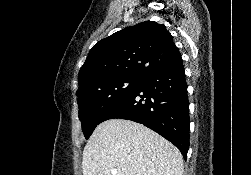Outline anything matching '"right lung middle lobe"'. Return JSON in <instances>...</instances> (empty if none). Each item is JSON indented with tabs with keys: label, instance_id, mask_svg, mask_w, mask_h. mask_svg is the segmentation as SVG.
I'll list each match as a JSON object with an SVG mask.
<instances>
[{
	"label": "right lung middle lobe",
	"instance_id": "1",
	"mask_svg": "<svg viewBox=\"0 0 251 175\" xmlns=\"http://www.w3.org/2000/svg\"><path fill=\"white\" fill-rule=\"evenodd\" d=\"M140 81V78L122 76L102 84H92L77 90L79 118L82 131L88 139L102 116L127 96Z\"/></svg>",
	"mask_w": 251,
	"mask_h": 175
}]
</instances>
